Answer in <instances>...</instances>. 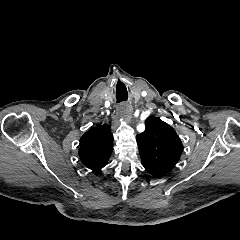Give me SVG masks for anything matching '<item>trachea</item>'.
Instances as JSON below:
<instances>
[{
  "label": "trachea",
  "instance_id": "3493384b",
  "mask_svg": "<svg viewBox=\"0 0 240 240\" xmlns=\"http://www.w3.org/2000/svg\"><path fill=\"white\" fill-rule=\"evenodd\" d=\"M125 100H127V97H122V98L118 99V102H122V101H125Z\"/></svg>",
  "mask_w": 240,
  "mask_h": 240
}]
</instances>
